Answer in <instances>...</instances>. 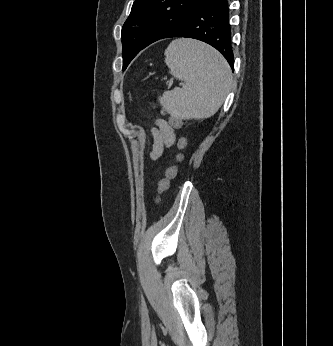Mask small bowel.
<instances>
[{"label": "small bowel", "instance_id": "1", "mask_svg": "<svg viewBox=\"0 0 333 346\" xmlns=\"http://www.w3.org/2000/svg\"><path fill=\"white\" fill-rule=\"evenodd\" d=\"M155 125L156 127L151 130L153 141L150 157L152 159L160 157L164 149L172 146L175 141L173 128L166 120L157 118Z\"/></svg>", "mask_w": 333, "mask_h": 346}]
</instances>
